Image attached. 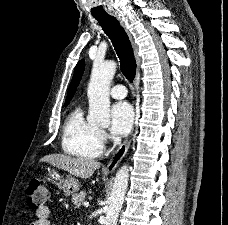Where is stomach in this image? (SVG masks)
Segmentation results:
<instances>
[{
    "mask_svg": "<svg viewBox=\"0 0 228 225\" xmlns=\"http://www.w3.org/2000/svg\"><path fill=\"white\" fill-rule=\"evenodd\" d=\"M48 181L57 185L61 191H63L65 197H70V195H75L79 191L80 183L71 175H66L65 179L60 175L59 171L55 169H48Z\"/></svg>",
    "mask_w": 228,
    "mask_h": 225,
    "instance_id": "stomach-1",
    "label": "stomach"
}]
</instances>
